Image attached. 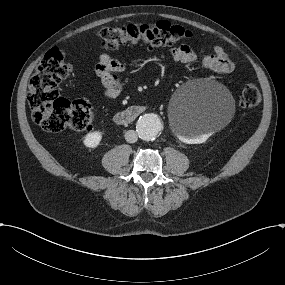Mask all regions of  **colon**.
<instances>
[{"instance_id":"1","label":"colon","mask_w":285,"mask_h":285,"mask_svg":"<svg viewBox=\"0 0 285 285\" xmlns=\"http://www.w3.org/2000/svg\"><path fill=\"white\" fill-rule=\"evenodd\" d=\"M97 36L104 48L114 50L128 43H145L152 47L168 45L190 38L191 33L180 25L161 20L154 24L104 27ZM71 72L72 66L66 62L64 51L53 48L45 54L30 78L27 100L32 119L48 132L83 131L94 121V110L89 102L70 101L59 95L58 85ZM260 101L261 93L255 84L243 88L240 97L243 108H254Z\"/></svg>"}]
</instances>
